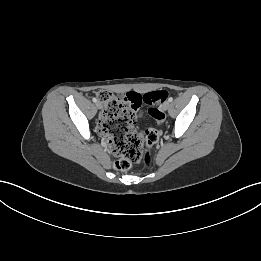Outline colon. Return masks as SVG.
<instances>
[{
	"mask_svg": "<svg viewBox=\"0 0 261 261\" xmlns=\"http://www.w3.org/2000/svg\"><path fill=\"white\" fill-rule=\"evenodd\" d=\"M167 95L166 90H158L144 95L129 93L125 98H121L110 91L98 92L97 96L103 104L99 131L110 137L111 148L116 156L113 163L116 170L126 171L138 162H142L145 166L151 164V147L158 141L160 131L149 128L147 135L141 136L140 132L134 128L133 111L142 102L155 105L162 102ZM149 114L158 123H164L167 120L166 113L159 108L151 107Z\"/></svg>",
	"mask_w": 261,
	"mask_h": 261,
	"instance_id": "obj_1",
	"label": "colon"
}]
</instances>
